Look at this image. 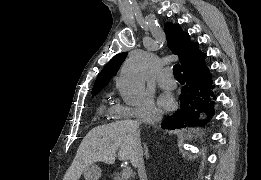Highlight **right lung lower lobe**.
I'll use <instances>...</instances> for the list:
<instances>
[{
    "instance_id": "right-lung-lower-lobe-1",
    "label": "right lung lower lobe",
    "mask_w": 261,
    "mask_h": 180,
    "mask_svg": "<svg viewBox=\"0 0 261 180\" xmlns=\"http://www.w3.org/2000/svg\"><path fill=\"white\" fill-rule=\"evenodd\" d=\"M186 85L180 95V109L166 118L162 127L166 129L180 128L184 124H195L200 113L205 112L207 119L214 115L213 82L208 67L203 63L197 64L183 71Z\"/></svg>"
}]
</instances>
